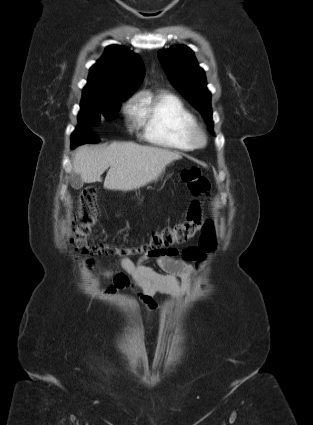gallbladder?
Returning <instances> with one entry per match:
<instances>
[{
  "mask_svg": "<svg viewBox=\"0 0 313 425\" xmlns=\"http://www.w3.org/2000/svg\"><path fill=\"white\" fill-rule=\"evenodd\" d=\"M70 184L74 189H81L83 187L84 181L81 176L77 173L71 175Z\"/></svg>",
  "mask_w": 313,
  "mask_h": 425,
  "instance_id": "gallbladder-1",
  "label": "gallbladder"
}]
</instances>
